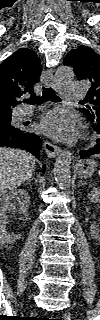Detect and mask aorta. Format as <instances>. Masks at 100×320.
<instances>
[{
	"label": "aorta",
	"instance_id": "aorta-1",
	"mask_svg": "<svg viewBox=\"0 0 100 320\" xmlns=\"http://www.w3.org/2000/svg\"><path fill=\"white\" fill-rule=\"evenodd\" d=\"M74 76V70L70 66H60L55 73L56 80L59 83H69L74 79ZM71 161L72 153L64 151L57 157L54 164V178L58 187L62 190L68 189L71 184Z\"/></svg>",
	"mask_w": 100,
	"mask_h": 320
}]
</instances>
